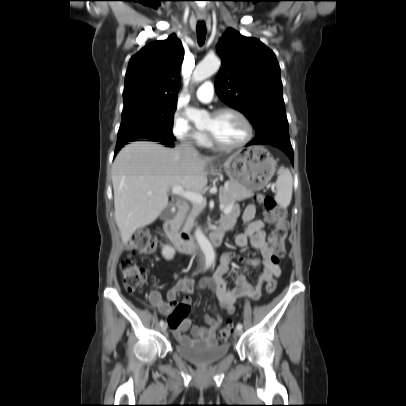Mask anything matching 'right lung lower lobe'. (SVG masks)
I'll return each mask as SVG.
<instances>
[{
	"mask_svg": "<svg viewBox=\"0 0 406 406\" xmlns=\"http://www.w3.org/2000/svg\"><path fill=\"white\" fill-rule=\"evenodd\" d=\"M157 142H161V144L166 145L167 147H174V140L170 139H165V140H160ZM124 145H116L115 148V155L118 153V151L123 147Z\"/></svg>",
	"mask_w": 406,
	"mask_h": 406,
	"instance_id": "98d812e1",
	"label": "right lung lower lobe"
}]
</instances>
